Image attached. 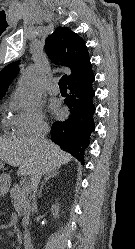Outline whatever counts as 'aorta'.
<instances>
[{"instance_id":"762f6f07","label":"aorta","mask_w":135,"mask_h":249,"mask_svg":"<svg viewBox=\"0 0 135 249\" xmlns=\"http://www.w3.org/2000/svg\"><path fill=\"white\" fill-rule=\"evenodd\" d=\"M42 71L34 66L20 79L17 90L18 101L26 107H34L41 99Z\"/></svg>"}]
</instances>
